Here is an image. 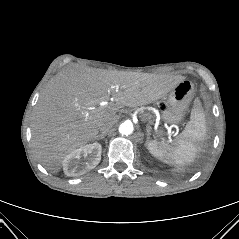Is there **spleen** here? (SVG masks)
<instances>
[{"label": "spleen", "mask_w": 239, "mask_h": 239, "mask_svg": "<svg viewBox=\"0 0 239 239\" xmlns=\"http://www.w3.org/2000/svg\"><path fill=\"white\" fill-rule=\"evenodd\" d=\"M206 135V120L199 100H195L190 121L173 143L156 140L146 142L149 152L158 160L173 166L191 163L200 150V142Z\"/></svg>", "instance_id": "obj_1"}]
</instances>
